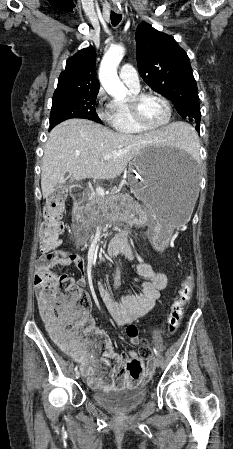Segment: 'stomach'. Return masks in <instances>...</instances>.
I'll list each match as a JSON object with an SVG mask.
<instances>
[{"mask_svg":"<svg viewBox=\"0 0 233 449\" xmlns=\"http://www.w3.org/2000/svg\"><path fill=\"white\" fill-rule=\"evenodd\" d=\"M198 170L194 160L171 153L161 146H148L134 156L128 183L134 195L150 212L155 243L166 244L172 230L191 217L198 200Z\"/></svg>","mask_w":233,"mask_h":449,"instance_id":"0dacf381","label":"stomach"}]
</instances>
